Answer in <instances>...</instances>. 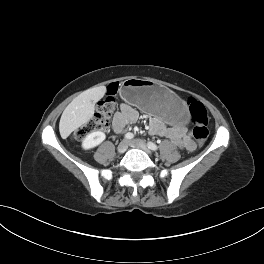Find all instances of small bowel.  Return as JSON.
<instances>
[{"mask_svg":"<svg viewBox=\"0 0 264 264\" xmlns=\"http://www.w3.org/2000/svg\"><path fill=\"white\" fill-rule=\"evenodd\" d=\"M138 112L127 104H122L113 120V128L121 131L129 122L138 119ZM149 129L152 135L170 139L175 145L193 150L195 143L192 140L187 127L183 125L166 126L159 117H153L150 121Z\"/></svg>","mask_w":264,"mask_h":264,"instance_id":"1","label":"small bowel"}]
</instances>
